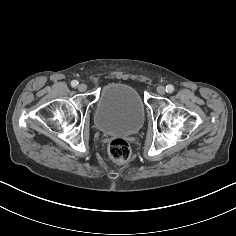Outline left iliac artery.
Returning <instances> with one entry per match:
<instances>
[{"label": "left iliac artery", "instance_id": "obj_1", "mask_svg": "<svg viewBox=\"0 0 236 236\" xmlns=\"http://www.w3.org/2000/svg\"><path fill=\"white\" fill-rule=\"evenodd\" d=\"M174 91V86L173 85H167L166 86V92L167 93H172Z\"/></svg>", "mask_w": 236, "mask_h": 236}]
</instances>
